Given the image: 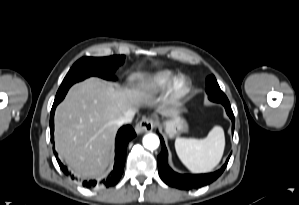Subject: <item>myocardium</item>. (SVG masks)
I'll use <instances>...</instances> for the list:
<instances>
[{
	"label": "myocardium",
	"instance_id": "1",
	"mask_svg": "<svg viewBox=\"0 0 299 205\" xmlns=\"http://www.w3.org/2000/svg\"><path fill=\"white\" fill-rule=\"evenodd\" d=\"M190 90V82L185 76L174 78L165 89L164 98L169 102H177Z\"/></svg>",
	"mask_w": 299,
	"mask_h": 205
}]
</instances>
